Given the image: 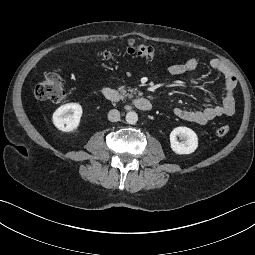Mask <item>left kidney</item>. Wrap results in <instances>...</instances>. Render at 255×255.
Returning a JSON list of instances; mask_svg holds the SVG:
<instances>
[{"instance_id":"5707ae66","label":"left kidney","mask_w":255,"mask_h":255,"mask_svg":"<svg viewBox=\"0 0 255 255\" xmlns=\"http://www.w3.org/2000/svg\"><path fill=\"white\" fill-rule=\"evenodd\" d=\"M177 136L184 142H179ZM171 149L179 155L191 154L198 147V137L196 133L188 127H176L170 133Z\"/></svg>"}]
</instances>
